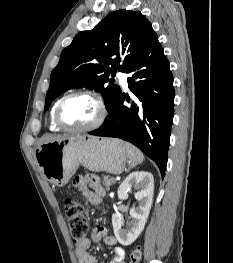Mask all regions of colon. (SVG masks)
Segmentation results:
<instances>
[{
	"label": "colon",
	"instance_id": "5ec220e1",
	"mask_svg": "<svg viewBox=\"0 0 233 263\" xmlns=\"http://www.w3.org/2000/svg\"><path fill=\"white\" fill-rule=\"evenodd\" d=\"M64 209L72 238L76 242L84 239L88 232V222L82 206L76 201L67 199ZM141 259L142 249L137 246L130 254V263H140Z\"/></svg>",
	"mask_w": 233,
	"mask_h": 263
}]
</instances>
